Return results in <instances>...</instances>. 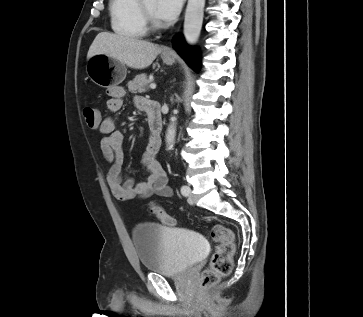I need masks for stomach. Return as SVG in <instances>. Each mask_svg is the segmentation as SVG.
Wrapping results in <instances>:
<instances>
[{"label":"stomach","mask_w":363,"mask_h":317,"mask_svg":"<svg viewBox=\"0 0 363 317\" xmlns=\"http://www.w3.org/2000/svg\"><path fill=\"white\" fill-rule=\"evenodd\" d=\"M166 65H172L173 57L162 56ZM86 73L96 85L110 88L120 84L126 77V66L117 59L105 54H96L88 59Z\"/></svg>","instance_id":"obj_1"}]
</instances>
